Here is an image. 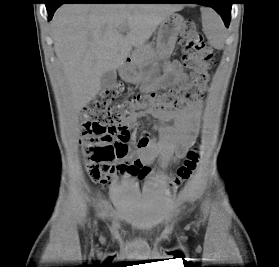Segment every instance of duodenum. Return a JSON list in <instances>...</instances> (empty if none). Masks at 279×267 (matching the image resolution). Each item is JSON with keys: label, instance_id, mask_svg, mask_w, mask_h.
Instances as JSON below:
<instances>
[{"label": "duodenum", "instance_id": "1", "mask_svg": "<svg viewBox=\"0 0 279 267\" xmlns=\"http://www.w3.org/2000/svg\"><path fill=\"white\" fill-rule=\"evenodd\" d=\"M132 67H133V63L131 57L126 56L122 61V65H121L122 71L125 74H129L130 71L132 70Z\"/></svg>", "mask_w": 279, "mask_h": 267}]
</instances>
